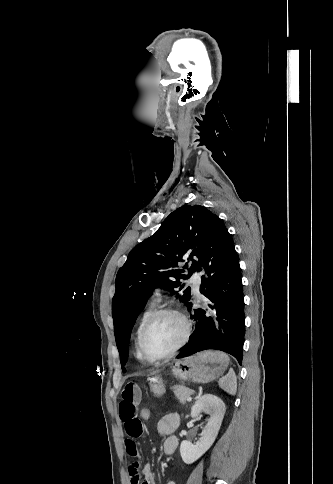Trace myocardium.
<instances>
[{
    "mask_svg": "<svg viewBox=\"0 0 333 484\" xmlns=\"http://www.w3.org/2000/svg\"><path fill=\"white\" fill-rule=\"evenodd\" d=\"M164 315H174V316L178 317L183 323L184 333H183V336H182L180 342L171 351H169L168 353H166L165 355L160 356V357H152L147 353L146 348H145L147 333H148L150 327L152 326V324L158 318H160L161 316H164ZM191 332H192V323L184 312H182L181 310H179L177 308H172V307L160 308V309L156 310L148 318V320L146 321V323L144 324V326L142 328V331H141V334H140V340H139L140 353L143 356V358L147 362H150V363H159V362H162L164 360H167V359L173 357L175 354H177V352H179L186 345V343L188 342V340L191 336Z\"/></svg>",
    "mask_w": 333,
    "mask_h": 484,
    "instance_id": "1",
    "label": "myocardium"
}]
</instances>
